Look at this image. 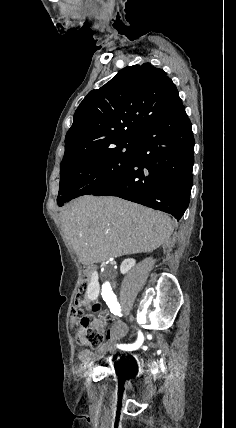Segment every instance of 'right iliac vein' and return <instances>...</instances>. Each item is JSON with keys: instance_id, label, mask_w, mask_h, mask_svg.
Wrapping results in <instances>:
<instances>
[{"instance_id": "right-iliac-vein-1", "label": "right iliac vein", "mask_w": 236, "mask_h": 428, "mask_svg": "<svg viewBox=\"0 0 236 428\" xmlns=\"http://www.w3.org/2000/svg\"><path fill=\"white\" fill-rule=\"evenodd\" d=\"M109 343H110V346H106L105 350L106 351H113L114 350V346L116 345L117 342L116 341H112V342L110 341Z\"/></svg>"}]
</instances>
